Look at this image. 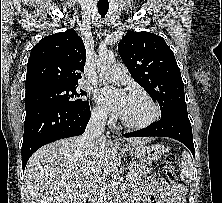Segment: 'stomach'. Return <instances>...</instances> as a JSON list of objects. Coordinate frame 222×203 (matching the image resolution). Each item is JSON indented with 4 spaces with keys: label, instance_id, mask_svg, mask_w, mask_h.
Instances as JSON below:
<instances>
[{
    "label": "stomach",
    "instance_id": "1",
    "mask_svg": "<svg viewBox=\"0 0 222 203\" xmlns=\"http://www.w3.org/2000/svg\"><path fill=\"white\" fill-rule=\"evenodd\" d=\"M125 150L144 164H150L158 160L166 152V148L161 144L138 147L128 146Z\"/></svg>",
    "mask_w": 222,
    "mask_h": 203
}]
</instances>
